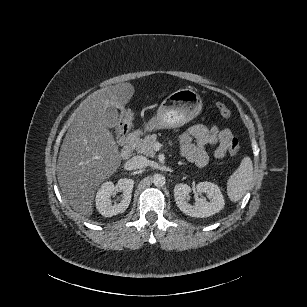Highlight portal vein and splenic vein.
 Instances as JSON below:
<instances>
[{"label": "portal vein and splenic vein", "mask_w": 307, "mask_h": 307, "mask_svg": "<svg viewBox=\"0 0 307 307\" xmlns=\"http://www.w3.org/2000/svg\"><path fill=\"white\" fill-rule=\"evenodd\" d=\"M160 147H161V144H160L159 142H156V143L154 144V148H155L156 150H159Z\"/></svg>", "instance_id": "portal-vein-and-splenic-vein-1"}]
</instances>
